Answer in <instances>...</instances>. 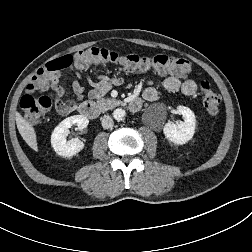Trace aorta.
I'll return each instance as SVG.
<instances>
[{
  "instance_id": "aorta-1",
  "label": "aorta",
  "mask_w": 252,
  "mask_h": 252,
  "mask_svg": "<svg viewBox=\"0 0 252 252\" xmlns=\"http://www.w3.org/2000/svg\"><path fill=\"white\" fill-rule=\"evenodd\" d=\"M125 116H126V112H125V110L122 109V108H117V109H115L114 112H113V117H114L116 120H118V121L123 120Z\"/></svg>"
}]
</instances>
